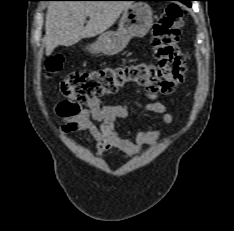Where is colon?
Segmentation results:
<instances>
[{
  "label": "colon",
  "instance_id": "5ec220e1",
  "mask_svg": "<svg viewBox=\"0 0 234 231\" xmlns=\"http://www.w3.org/2000/svg\"><path fill=\"white\" fill-rule=\"evenodd\" d=\"M184 9L170 5L157 18L152 28L151 44L157 64L138 62L129 65L105 67L70 73L61 83L60 90L65 100L61 112L77 113L80 105L121 91L129 85L152 93L168 94L183 82L186 60L179 36L183 25ZM63 57L47 59L49 72L60 69Z\"/></svg>",
  "mask_w": 234,
  "mask_h": 231
}]
</instances>
